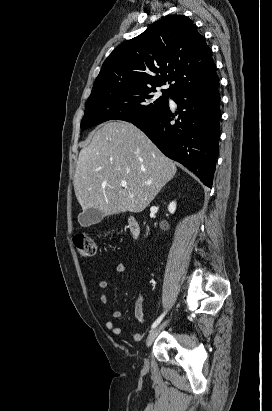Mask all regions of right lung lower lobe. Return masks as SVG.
I'll use <instances>...</instances> for the list:
<instances>
[{"instance_id": "98d812e1", "label": "right lung lower lobe", "mask_w": 272, "mask_h": 411, "mask_svg": "<svg viewBox=\"0 0 272 411\" xmlns=\"http://www.w3.org/2000/svg\"><path fill=\"white\" fill-rule=\"evenodd\" d=\"M219 78L196 89L172 95L178 111L169 104L153 116L132 122L169 158L180 162L209 188L212 187L218 141Z\"/></svg>"}]
</instances>
